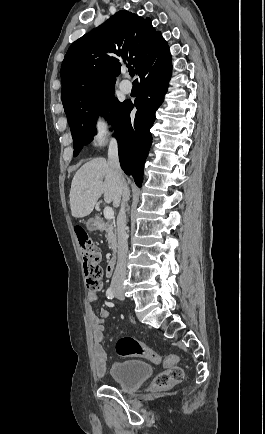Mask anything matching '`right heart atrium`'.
I'll use <instances>...</instances> for the list:
<instances>
[{
  "label": "right heart atrium",
  "mask_w": 265,
  "mask_h": 434,
  "mask_svg": "<svg viewBox=\"0 0 265 434\" xmlns=\"http://www.w3.org/2000/svg\"><path fill=\"white\" fill-rule=\"evenodd\" d=\"M94 127H90L89 139L95 141L96 148H119L121 142L119 139H111L110 131H116L118 125L111 122L112 118L108 115H95L93 118Z\"/></svg>",
  "instance_id": "1"
}]
</instances>
